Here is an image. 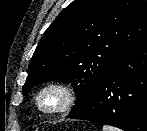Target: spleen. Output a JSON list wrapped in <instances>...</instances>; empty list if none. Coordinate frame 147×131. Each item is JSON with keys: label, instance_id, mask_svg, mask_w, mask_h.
<instances>
[{"label": "spleen", "instance_id": "1", "mask_svg": "<svg viewBox=\"0 0 147 131\" xmlns=\"http://www.w3.org/2000/svg\"><path fill=\"white\" fill-rule=\"evenodd\" d=\"M103 131H120V130L115 128V127H113V126L104 125L103 126Z\"/></svg>", "mask_w": 147, "mask_h": 131}]
</instances>
